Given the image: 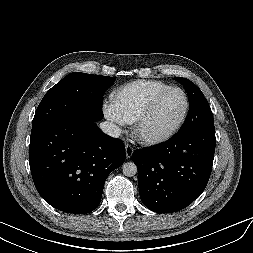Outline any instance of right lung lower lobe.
<instances>
[{
    "instance_id": "obj_1",
    "label": "right lung lower lobe",
    "mask_w": 253,
    "mask_h": 253,
    "mask_svg": "<svg viewBox=\"0 0 253 253\" xmlns=\"http://www.w3.org/2000/svg\"><path fill=\"white\" fill-rule=\"evenodd\" d=\"M124 161L123 143L100 131L95 121L64 120L31 132L35 187L48 204L67 213L97 208L107 177Z\"/></svg>"
}]
</instances>
